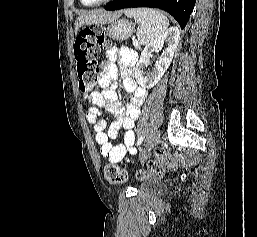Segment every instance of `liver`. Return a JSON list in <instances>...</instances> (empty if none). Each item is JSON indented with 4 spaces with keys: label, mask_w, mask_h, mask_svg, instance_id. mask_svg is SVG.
Here are the masks:
<instances>
[{
    "label": "liver",
    "mask_w": 257,
    "mask_h": 237,
    "mask_svg": "<svg viewBox=\"0 0 257 237\" xmlns=\"http://www.w3.org/2000/svg\"><path fill=\"white\" fill-rule=\"evenodd\" d=\"M121 14L122 11L116 12L114 14L106 13L103 11H94L81 15L75 21V33L77 34L78 29L85 24L111 22L116 20Z\"/></svg>",
    "instance_id": "6515ba94"
}]
</instances>
